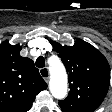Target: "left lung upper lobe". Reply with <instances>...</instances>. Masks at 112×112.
Listing matches in <instances>:
<instances>
[{"mask_svg": "<svg viewBox=\"0 0 112 112\" xmlns=\"http://www.w3.org/2000/svg\"><path fill=\"white\" fill-rule=\"evenodd\" d=\"M68 73L69 94L58 102L62 112H93L102 103L110 85V67L105 56L91 44L77 39L73 46L52 41Z\"/></svg>", "mask_w": 112, "mask_h": 112, "instance_id": "1", "label": "left lung upper lobe"}]
</instances>
